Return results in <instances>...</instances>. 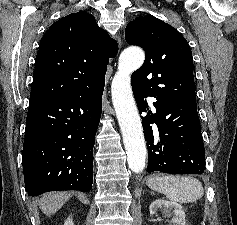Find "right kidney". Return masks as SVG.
<instances>
[{
    "mask_svg": "<svg viewBox=\"0 0 237 225\" xmlns=\"http://www.w3.org/2000/svg\"><path fill=\"white\" fill-rule=\"evenodd\" d=\"M64 225H74L72 218H67V220L65 221Z\"/></svg>",
    "mask_w": 237,
    "mask_h": 225,
    "instance_id": "right-kidney-1",
    "label": "right kidney"
}]
</instances>
